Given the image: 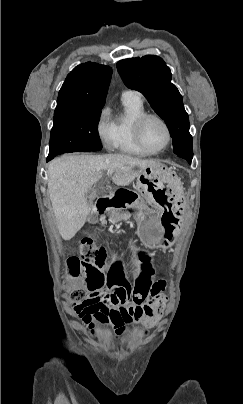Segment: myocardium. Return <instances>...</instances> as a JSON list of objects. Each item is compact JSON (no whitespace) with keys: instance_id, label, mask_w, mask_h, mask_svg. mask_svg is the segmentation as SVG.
<instances>
[{"instance_id":"obj_1","label":"myocardium","mask_w":243,"mask_h":404,"mask_svg":"<svg viewBox=\"0 0 243 404\" xmlns=\"http://www.w3.org/2000/svg\"><path fill=\"white\" fill-rule=\"evenodd\" d=\"M141 97V95H140ZM151 117H155L157 119H159L164 126L166 127L167 133H168V140L167 143L164 147L160 148V149H154L152 147H150L143 139L142 137V133H141V129H142V125L144 124V122L151 118ZM132 130L135 136L136 141L138 142V144L144 148L145 150L151 152V153H160L165 151L166 149H168L173 141V131L172 128L169 124V122L159 113L156 112H144L142 113L134 122L132 125Z\"/></svg>"}]
</instances>
